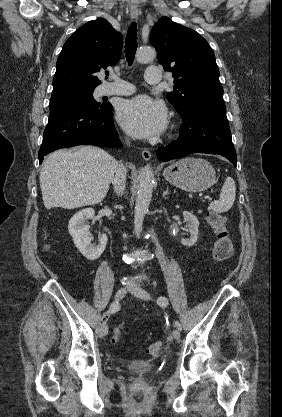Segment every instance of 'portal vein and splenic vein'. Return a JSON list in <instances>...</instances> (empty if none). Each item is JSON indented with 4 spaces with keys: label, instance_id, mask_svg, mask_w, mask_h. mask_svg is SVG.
Wrapping results in <instances>:
<instances>
[{
    "label": "portal vein and splenic vein",
    "instance_id": "obj_1",
    "mask_svg": "<svg viewBox=\"0 0 282 417\" xmlns=\"http://www.w3.org/2000/svg\"><path fill=\"white\" fill-rule=\"evenodd\" d=\"M196 196L197 197H204L208 201H214L215 200L214 196H212L211 194H206L205 192H197Z\"/></svg>",
    "mask_w": 282,
    "mask_h": 417
}]
</instances>
